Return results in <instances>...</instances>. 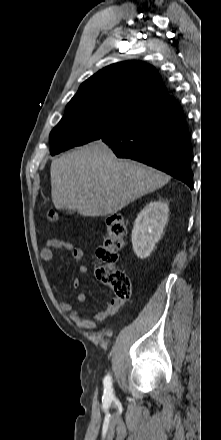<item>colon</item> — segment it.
I'll list each match as a JSON object with an SVG mask.
<instances>
[{
    "instance_id": "1",
    "label": "colon",
    "mask_w": 221,
    "mask_h": 440,
    "mask_svg": "<svg viewBox=\"0 0 221 440\" xmlns=\"http://www.w3.org/2000/svg\"><path fill=\"white\" fill-rule=\"evenodd\" d=\"M48 217L53 221L57 219V215L52 211L49 212ZM107 227V237L96 251L99 261L96 276L99 281L112 289L115 297L128 299L132 294L131 280L124 271L114 268L127 232L124 218L117 213L111 214L107 219Z\"/></svg>"
}]
</instances>
